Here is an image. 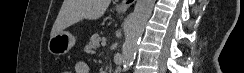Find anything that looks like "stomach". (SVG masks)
Returning <instances> with one entry per match:
<instances>
[{
  "instance_id": "stomach-1",
  "label": "stomach",
  "mask_w": 244,
  "mask_h": 73,
  "mask_svg": "<svg viewBox=\"0 0 244 73\" xmlns=\"http://www.w3.org/2000/svg\"><path fill=\"white\" fill-rule=\"evenodd\" d=\"M76 38L67 31H62L50 37L48 51L52 55L60 56L68 53L75 45Z\"/></svg>"
}]
</instances>
